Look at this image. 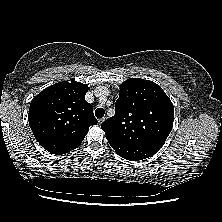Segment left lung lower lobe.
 <instances>
[{
    "instance_id": "0a47b994",
    "label": "left lung lower lobe",
    "mask_w": 222,
    "mask_h": 222,
    "mask_svg": "<svg viewBox=\"0 0 222 222\" xmlns=\"http://www.w3.org/2000/svg\"><path fill=\"white\" fill-rule=\"evenodd\" d=\"M117 154L130 161H139L153 156L159 148L145 145H125L120 142L108 140Z\"/></svg>"
}]
</instances>
